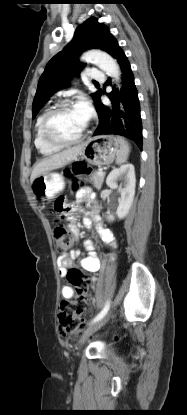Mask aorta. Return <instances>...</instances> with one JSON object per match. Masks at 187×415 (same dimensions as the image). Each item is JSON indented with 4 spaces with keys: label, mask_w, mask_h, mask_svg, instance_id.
Masks as SVG:
<instances>
[{
    "label": "aorta",
    "mask_w": 187,
    "mask_h": 415,
    "mask_svg": "<svg viewBox=\"0 0 187 415\" xmlns=\"http://www.w3.org/2000/svg\"><path fill=\"white\" fill-rule=\"evenodd\" d=\"M83 61L92 63L104 71L107 75L120 82V68L117 62L106 52L100 50H90L83 54Z\"/></svg>",
    "instance_id": "obj_1"
}]
</instances>
